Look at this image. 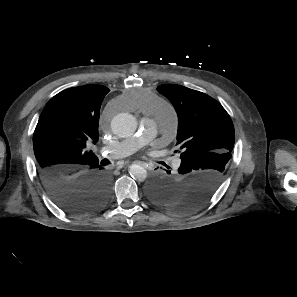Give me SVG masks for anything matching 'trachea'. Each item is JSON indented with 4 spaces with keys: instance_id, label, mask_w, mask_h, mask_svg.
I'll list each match as a JSON object with an SVG mask.
<instances>
[{
    "instance_id": "3493384b",
    "label": "trachea",
    "mask_w": 297,
    "mask_h": 297,
    "mask_svg": "<svg viewBox=\"0 0 297 297\" xmlns=\"http://www.w3.org/2000/svg\"><path fill=\"white\" fill-rule=\"evenodd\" d=\"M103 165H107L109 163V161L107 159L102 160L101 162Z\"/></svg>"
}]
</instances>
